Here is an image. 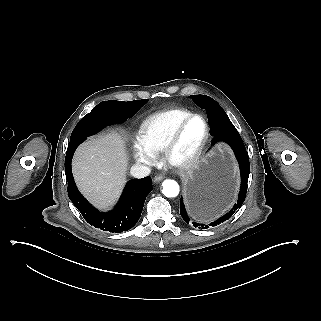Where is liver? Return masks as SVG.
Returning a JSON list of instances; mask_svg holds the SVG:
<instances>
[{
    "mask_svg": "<svg viewBox=\"0 0 321 321\" xmlns=\"http://www.w3.org/2000/svg\"><path fill=\"white\" fill-rule=\"evenodd\" d=\"M123 131H111L81 144L72 171L81 193L99 209H107L119 197L126 182L128 158Z\"/></svg>",
    "mask_w": 321,
    "mask_h": 321,
    "instance_id": "1",
    "label": "liver"
}]
</instances>
